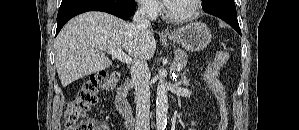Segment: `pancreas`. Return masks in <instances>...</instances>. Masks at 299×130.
Segmentation results:
<instances>
[{
  "instance_id": "cf45deb5",
  "label": "pancreas",
  "mask_w": 299,
  "mask_h": 130,
  "mask_svg": "<svg viewBox=\"0 0 299 130\" xmlns=\"http://www.w3.org/2000/svg\"><path fill=\"white\" fill-rule=\"evenodd\" d=\"M175 54V61H176V65H180L182 68L185 67L187 65V58L188 55L185 51L180 50V49H176L174 51Z\"/></svg>"
}]
</instances>
